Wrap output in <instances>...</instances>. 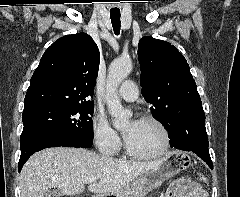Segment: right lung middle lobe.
<instances>
[{"label":"right lung middle lobe","mask_w":240,"mask_h":197,"mask_svg":"<svg viewBox=\"0 0 240 197\" xmlns=\"http://www.w3.org/2000/svg\"><path fill=\"white\" fill-rule=\"evenodd\" d=\"M93 105L51 104L23 111V132H51L83 148L93 141Z\"/></svg>","instance_id":"1"}]
</instances>
